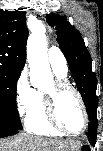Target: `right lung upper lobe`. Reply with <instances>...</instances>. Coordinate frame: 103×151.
I'll list each match as a JSON object with an SVG mask.
<instances>
[{
	"label": "right lung upper lobe",
	"mask_w": 103,
	"mask_h": 151,
	"mask_svg": "<svg viewBox=\"0 0 103 151\" xmlns=\"http://www.w3.org/2000/svg\"><path fill=\"white\" fill-rule=\"evenodd\" d=\"M25 11L0 9V66L21 71L26 59L28 30Z\"/></svg>",
	"instance_id": "cb5924a9"
}]
</instances>
